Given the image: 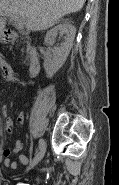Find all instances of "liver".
<instances>
[{"label":"liver","mask_w":119,"mask_h":185,"mask_svg":"<svg viewBox=\"0 0 119 185\" xmlns=\"http://www.w3.org/2000/svg\"><path fill=\"white\" fill-rule=\"evenodd\" d=\"M86 0H0V14L13 13L29 30L42 31L54 26L63 16L78 12ZM1 16V15H0ZM5 20L0 17V30Z\"/></svg>","instance_id":"1"}]
</instances>
